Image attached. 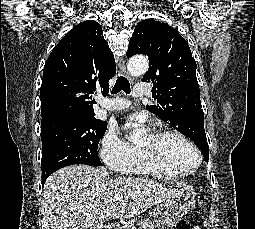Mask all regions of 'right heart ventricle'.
Wrapping results in <instances>:
<instances>
[{"label": "right heart ventricle", "mask_w": 255, "mask_h": 229, "mask_svg": "<svg viewBox=\"0 0 255 229\" xmlns=\"http://www.w3.org/2000/svg\"><path fill=\"white\" fill-rule=\"evenodd\" d=\"M123 172L134 175L154 176L164 179L178 177L171 175L165 170L156 166L146 157L140 148H136L133 158L125 165Z\"/></svg>", "instance_id": "1"}]
</instances>
